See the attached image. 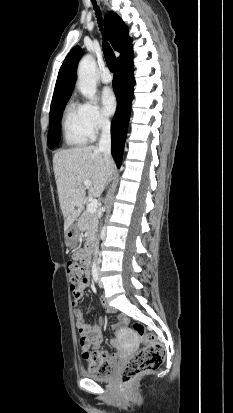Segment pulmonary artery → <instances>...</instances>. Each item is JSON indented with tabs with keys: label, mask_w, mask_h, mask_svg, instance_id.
Returning <instances> with one entry per match:
<instances>
[{
	"label": "pulmonary artery",
	"mask_w": 233,
	"mask_h": 413,
	"mask_svg": "<svg viewBox=\"0 0 233 413\" xmlns=\"http://www.w3.org/2000/svg\"><path fill=\"white\" fill-rule=\"evenodd\" d=\"M100 79L103 83L108 84L112 81V75L108 69H104L101 73Z\"/></svg>",
	"instance_id": "obj_1"
}]
</instances>
